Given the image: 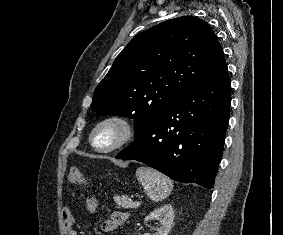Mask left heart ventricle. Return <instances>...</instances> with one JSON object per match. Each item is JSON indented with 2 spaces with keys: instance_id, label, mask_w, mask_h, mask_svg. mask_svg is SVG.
I'll use <instances>...</instances> for the list:
<instances>
[{
  "instance_id": "b2bd125f",
  "label": "left heart ventricle",
  "mask_w": 283,
  "mask_h": 235,
  "mask_svg": "<svg viewBox=\"0 0 283 235\" xmlns=\"http://www.w3.org/2000/svg\"><path fill=\"white\" fill-rule=\"evenodd\" d=\"M118 133L119 131L116 126H105L97 135L96 142L101 146H107L116 140V138L118 137Z\"/></svg>"
}]
</instances>
